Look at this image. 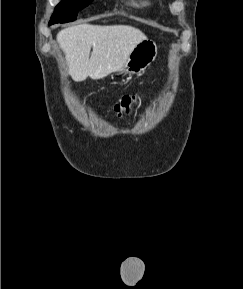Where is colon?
<instances>
[{"label":"colon","mask_w":243,"mask_h":289,"mask_svg":"<svg viewBox=\"0 0 243 289\" xmlns=\"http://www.w3.org/2000/svg\"><path fill=\"white\" fill-rule=\"evenodd\" d=\"M140 100L139 94L125 95L113 105L112 110L119 116L128 114L140 103Z\"/></svg>","instance_id":"obj_1"}]
</instances>
